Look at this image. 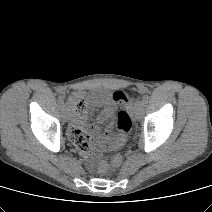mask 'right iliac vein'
<instances>
[{
  "label": "right iliac vein",
  "mask_w": 212,
  "mask_h": 212,
  "mask_svg": "<svg viewBox=\"0 0 212 212\" xmlns=\"http://www.w3.org/2000/svg\"><path fill=\"white\" fill-rule=\"evenodd\" d=\"M63 118L65 122H68L70 120V113L67 107L63 108Z\"/></svg>",
  "instance_id": "right-iliac-vein-1"
}]
</instances>
